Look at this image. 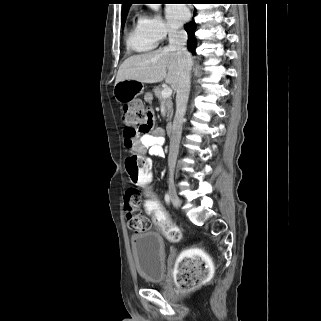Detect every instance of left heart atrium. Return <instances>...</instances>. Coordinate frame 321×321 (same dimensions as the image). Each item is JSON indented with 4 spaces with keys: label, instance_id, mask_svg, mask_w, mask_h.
<instances>
[{
    "label": "left heart atrium",
    "instance_id": "1",
    "mask_svg": "<svg viewBox=\"0 0 321 321\" xmlns=\"http://www.w3.org/2000/svg\"><path fill=\"white\" fill-rule=\"evenodd\" d=\"M166 17L169 24L172 27L177 28L188 18V10L181 4H169L166 7Z\"/></svg>",
    "mask_w": 321,
    "mask_h": 321
}]
</instances>
